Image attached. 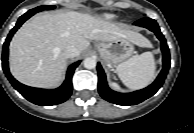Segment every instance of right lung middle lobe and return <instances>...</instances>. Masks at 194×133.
Masks as SVG:
<instances>
[{
    "label": "right lung middle lobe",
    "mask_w": 194,
    "mask_h": 133,
    "mask_svg": "<svg viewBox=\"0 0 194 133\" xmlns=\"http://www.w3.org/2000/svg\"><path fill=\"white\" fill-rule=\"evenodd\" d=\"M54 8H55V6H39V7H36L34 9L29 10L28 12L35 14V13L40 12L42 10H49V9H54Z\"/></svg>",
    "instance_id": "1"
}]
</instances>
